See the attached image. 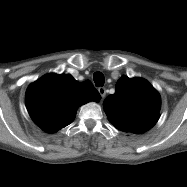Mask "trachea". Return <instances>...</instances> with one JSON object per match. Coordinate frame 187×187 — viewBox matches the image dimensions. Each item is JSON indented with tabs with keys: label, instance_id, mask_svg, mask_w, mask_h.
<instances>
[{
	"label": "trachea",
	"instance_id": "1",
	"mask_svg": "<svg viewBox=\"0 0 187 187\" xmlns=\"http://www.w3.org/2000/svg\"><path fill=\"white\" fill-rule=\"evenodd\" d=\"M93 80L96 86H103L105 82L104 75L101 72H95L93 75Z\"/></svg>",
	"mask_w": 187,
	"mask_h": 187
}]
</instances>
